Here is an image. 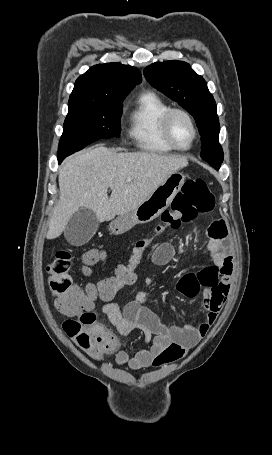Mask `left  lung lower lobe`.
<instances>
[{
    "label": "left lung lower lobe",
    "instance_id": "1",
    "mask_svg": "<svg viewBox=\"0 0 272 455\" xmlns=\"http://www.w3.org/2000/svg\"><path fill=\"white\" fill-rule=\"evenodd\" d=\"M212 167H214L215 169H219L220 168V164L218 162H215L214 164H210Z\"/></svg>",
    "mask_w": 272,
    "mask_h": 455
}]
</instances>
